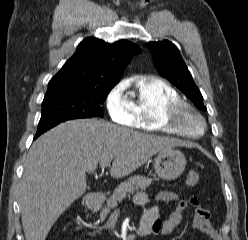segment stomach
Here are the masks:
<instances>
[{"label":"stomach","mask_w":248,"mask_h":240,"mask_svg":"<svg viewBox=\"0 0 248 240\" xmlns=\"http://www.w3.org/2000/svg\"><path fill=\"white\" fill-rule=\"evenodd\" d=\"M185 167L184 154L174 148L167 152H160L154 159L155 172L164 180L176 179L183 173Z\"/></svg>","instance_id":"0dacf381"}]
</instances>
